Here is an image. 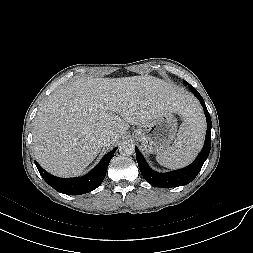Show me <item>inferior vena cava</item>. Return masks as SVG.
<instances>
[{
    "mask_svg": "<svg viewBox=\"0 0 253 253\" xmlns=\"http://www.w3.org/2000/svg\"><path fill=\"white\" fill-rule=\"evenodd\" d=\"M112 139V135L110 133H102L99 137V140L102 145H107Z\"/></svg>",
    "mask_w": 253,
    "mask_h": 253,
    "instance_id": "obj_1",
    "label": "inferior vena cava"
}]
</instances>
